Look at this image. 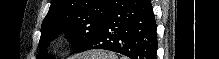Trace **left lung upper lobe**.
I'll return each instance as SVG.
<instances>
[{
    "mask_svg": "<svg viewBox=\"0 0 219 59\" xmlns=\"http://www.w3.org/2000/svg\"><path fill=\"white\" fill-rule=\"evenodd\" d=\"M113 1L52 0L42 23L37 59H48L46 48L61 33H65L75 52L79 51L95 37Z\"/></svg>",
    "mask_w": 219,
    "mask_h": 59,
    "instance_id": "5c2ea615",
    "label": "left lung upper lobe"
}]
</instances>
